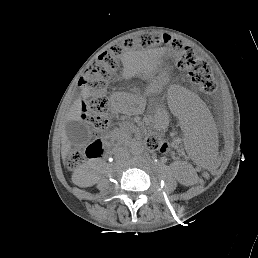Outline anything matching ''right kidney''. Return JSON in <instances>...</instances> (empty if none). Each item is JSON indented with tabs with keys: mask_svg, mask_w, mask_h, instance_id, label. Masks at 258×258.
<instances>
[{
	"mask_svg": "<svg viewBox=\"0 0 258 258\" xmlns=\"http://www.w3.org/2000/svg\"><path fill=\"white\" fill-rule=\"evenodd\" d=\"M96 178L94 174L89 171L88 167L84 166L74 172L72 179L73 182L80 186H90L95 184ZM84 184V185H83Z\"/></svg>",
	"mask_w": 258,
	"mask_h": 258,
	"instance_id": "ca27d5eb",
	"label": "right kidney"
}]
</instances>
